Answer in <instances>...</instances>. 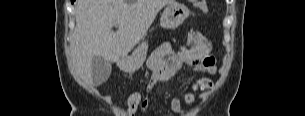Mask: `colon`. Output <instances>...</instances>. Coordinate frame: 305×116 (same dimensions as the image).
Returning <instances> with one entry per match:
<instances>
[{
	"mask_svg": "<svg viewBox=\"0 0 305 116\" xmlns=\"http://www.w3.org/2000/svg\"><path fill=\"white\" fill-rule=\"evenodd\" d=\"M143 97L141 93L134 92L129 95L125 107H124V116H137L138 111L141 109Z\"/></svg>",
	"mask_w": 305,
	"mask_h": 116,
	"instance_id": "obj_1",
	"label": "colon"
}]
</instances>
